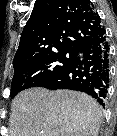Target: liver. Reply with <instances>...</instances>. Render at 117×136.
<instances>
[{"label": "liver", "mask_w": 117, "mask_h": 136, "mask_svg": "<svg viewBox=\"0 0 117 136\" xmlns=\"http://www.w3.org/2000/svg\"><path fill=\"white\" fill-rule=\"evenodd\" d=\"M101 118L100 105L84 93L35 87L12 101L10 136H97Z\"/></svg>", "instance_id": "liver-1"}]
</instances>
